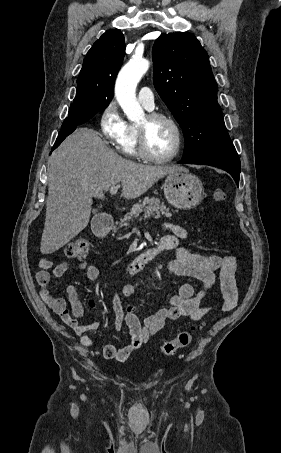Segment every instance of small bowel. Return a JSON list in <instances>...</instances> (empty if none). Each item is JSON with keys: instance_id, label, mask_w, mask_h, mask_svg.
<instances>
[{"instance_id": "c3829d8e", "label": "small bowel", "mask_w": 281, "mask_h": 453, "mask_svg": "<svg viewBox=\"0 0 281 453\" xmlns=\"http://www.w3.org/2000/svg\"><path fill=\"white\" fill-rule=\"evenodd\" d=\"M165 229L175 237H165L162 243L159 240L154 242L157 252L176 251V259L167 263L165 269L175 277H194L200 281L202 287L195 291L190 285H182L178 292L168 300V307L158 310L149 315L143 322H140L135 315V306L127 301L134 288L130 284L122 287V295L114 292L112 294V307L114 313V328L121 330L127 327L130 332V341L122 347L108 344L104 347V356L108 360L125 362L138 350L152 335L159 331L166 323L177 320L183 316L193 321H200L209 312V307L201 304L206 293L217 285L221 287L223 295L222 311H232L238 301L235 271L237 258L233 255L220 256L216 254L192 253L180 244V240L188 237L186 228L172 223H166ZM68 262L60 261L50 272L53 262L47 257L40 261V269L36 273L37 282L41 296L51 310L61 317L78 336L80 343L85 348L94 346V340L87 332H94L101 329V322L95 321L85 326L79 324V319L84 313V306L78 297L77 286L73 283L65 287L67 299L53 297L50 291L51 276L62 278L68 270ZM81 269L87 274L90 281L99 277V271L95 265L83 264ZM220 269V278L216 270Z\"/></svg>"}]
</instances>
